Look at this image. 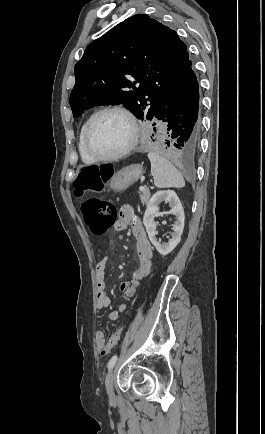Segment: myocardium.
I'll return each mask as SVG.
<instances>
[{"mask_svg": "<svg viewBox=\"0 0 265 434\" xmlns=\"http://www.w3.org/2000/svg\"><path fill=\"white\" fill-rule=\"evenodd\" d=\"M108 112H120L124 114L131 123L132 127V137L129 145L122 150L121 152L113 155H103L100 154L92 144V136L94 135V128L98 121V119L105 113ZM140 137V128L137 122L135 115L124 105L116 104V105H108L97 110L90 118L86 134L83 139L84 150L86 154L97 162H112L123 159L130 155L138 145Z\"/></svg>", "mask_w": 265, "mask_h": 434, "instance_id": "obj_1", "label": "myocardium"}]
</instances>
